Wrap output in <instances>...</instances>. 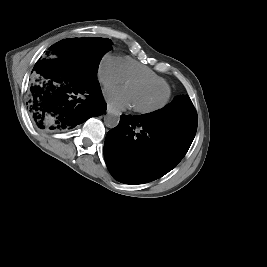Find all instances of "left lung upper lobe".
Returning a JSON list of instances; mask_svg holds the SVG:
<instances>
[{"label":"left lung upper lobe","mask_w":267,"mask_h":267,"mask_svg":"<svg viewBox=\"0 0 267 267\" xmlns=\"http://www.w3.org/2000/svg\"><path fill=\"white\" fill-rule=\"evenodd\" d=\"M153 118H173L190 121L197 124L198 116L189 96H176L164 108L152 113L143 114Z\"/></svg>","instance_id":"5c2ea615"}]
</instances>
